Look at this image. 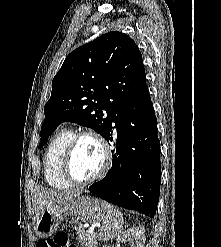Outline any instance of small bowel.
I'll return each instance as SVG.
<instances>
[{
  "instance_id": "small-bowel-1",
  "label": "small bowel",
  "mask_w": 221,
  "mask_h": 247,
  "mask_svg": "<svg viewBox=\"0 0 221 247\" xmlns=\"http://www.w3.org/2000/svg\"><path fill=\"white\" fill-rule=\"evenodd\" d=\"M44 241H45V240H40V241H38L36 247H40V246H39V243H43ZM72 247H73V246H72Z\"/></svg>"
}]
</instances>
